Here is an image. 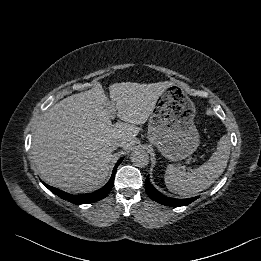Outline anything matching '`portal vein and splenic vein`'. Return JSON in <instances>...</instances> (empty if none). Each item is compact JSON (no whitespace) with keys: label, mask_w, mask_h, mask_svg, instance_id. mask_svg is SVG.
Here are the masks:
<instances>
[{"label":"portal vein and splenic vein","mask_w":261,"mask_h":261,"mask_svg":"<svg viewBox=\"0 0 261 261\" xmlns=\"http://www.w3.org/2000/svg\"><path fill=\"white\" fill-rule=\"evenodd\" d=\"M115 114H116V110H115L114 108H111V109H110V115H109V117H110L111 119H114V118H115Z\"/></svg>","instance_id":"1"}]
</instances>
